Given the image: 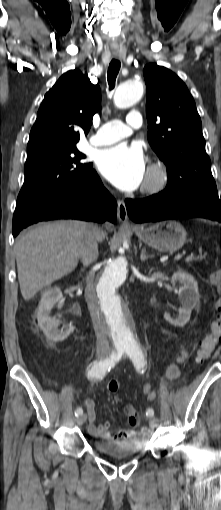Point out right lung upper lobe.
<instances>
[{"label":"right lung upper lobe","mask_w":221,"mask_h":510,"mask_svg":"<svg viewBox=\"0 0 221 510\" xmlns=\"http://www.w3.org/2000/svg\"><path fill=\"white\" fill-rule=\"evenodd\" d=\"M101 103L98 85L80 70L63 74L46 93L30 132L27 154L76 145L87 134Z\"/></svg>","instance_id":"right-lung-upper-lobe-1"}]
</instances>
